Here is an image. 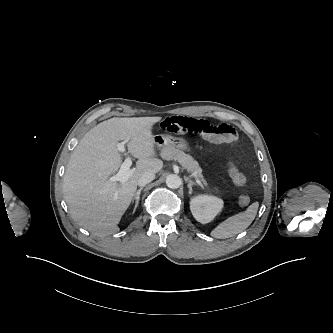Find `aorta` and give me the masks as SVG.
<instances>
[{"label": "aorta", "instance_id": "762f6f07", "mask_svg": "<svg viewBox=\"0 0 333 333\" xmlns=\"http://www.w3.org/2000/svg\"><path fill=\"white\" fill-rule=\"evenodd\" d=\"M182 180L178 175L171 174L166 178V185L171 189H177L181 186Z\"/></svg>", "mask_w": 333, "mask_h": 333}]
</instances>
